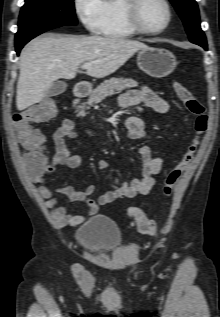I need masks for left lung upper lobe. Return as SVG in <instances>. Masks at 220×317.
Here are the masks:
<instances>
[{"label":"left lung upper lobe","instance_id":"1","mask_svg":"<svg viewBox=\"0 0 220 317\" xmlns=\"http://www.w3.org/2000/svg\"><path fill=\"white\" fill-rule=\"evenodd\" d=\"M184 22L191 42L195 44L206 43V38L201 30L199 10L195 0H170Z\"/></svg>","mask_w":220,"mask_h":317}]
</instances>
